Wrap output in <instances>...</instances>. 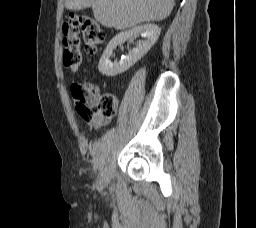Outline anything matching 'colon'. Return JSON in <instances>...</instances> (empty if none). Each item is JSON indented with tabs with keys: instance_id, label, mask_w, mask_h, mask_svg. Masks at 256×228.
Returning <instances> with one entry per match:
<instances>
[{
	"instance_id": "5ec220e1",
	"label": "colon",
	"mask_w": 256,
	"mask_h": 228,
	"mask_svg": "<svg viewBox=\"0 0 256 228\" xmlns=\"http://www.w3.org/2000/svg\"><path fill=\"white\" fill-rule=\"evenodd\" d=\"M82 33L85 49L95 54L105 38L104 31L95 19L87 14L72 13L63 25V63L72 72L82 64L80 51ZM77 112L85 121L111 118L117 110V98L112 93L100 94L86 82L74 83L71 87Z\"/></svg>"
}]
</instances>
